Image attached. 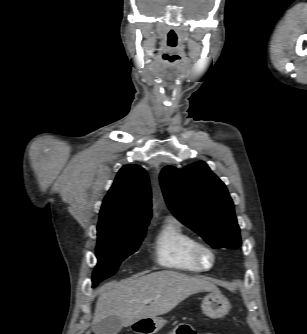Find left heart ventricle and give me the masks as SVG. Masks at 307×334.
Wrapping results in <instances>:
<instances>
[{"label": "left heart ventricle", "mask_w": 307, "mask_h": 334, "mask_svg": "<svg viewBox=\"0 0 307 334\" xmlns=\"http://www.w3.org/2000/svg\"><path fill=\"white\" fill-rule=\"evenodd\" d=\"M204 259H205L206 263H210V257H209V255L205 254L204 255Z\"/></svg>", "instance_id": "1"}]
</instances>
